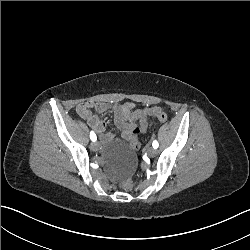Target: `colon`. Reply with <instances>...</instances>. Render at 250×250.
I'll return each mask as SVG.
<instances>
[{"label":"colon","mask_w":250,"mask_h":250,"mask_svg":"<svg viewBox=\"0 0 250 250\" xmlns=\"http://www.w3.org/2000/svg\"><path fill=\"white\" fill-rule=\"evenodd\" d=\"M148 112L151 114V115H156L158 116V120L161 122V123H167L168 122V117H167V112L158 107V106H151L149 109H148ZM142 144H141V141L140 140H135V141H132L131 142V147L134 149V150H139L141 148ZM139 187V184L136 182V181H133L132 179H127V180H124L122 183H121V188L126 191V192H133L135 191L137 188Z\"/></svg>","instance_id":"obj_1"}]
</instances>
